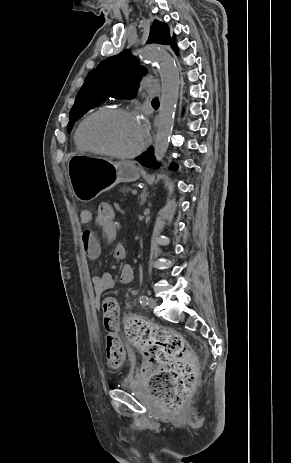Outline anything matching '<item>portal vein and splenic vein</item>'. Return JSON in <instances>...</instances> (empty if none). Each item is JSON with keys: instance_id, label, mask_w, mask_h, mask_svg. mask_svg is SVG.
<instances>
[{"instance_id": "obj_1", "label": "portal vein and splenic vein", "mask_w": 291, "mask_h": 463, "mask_svg": "<svg viewBox=\"0 0 291 463\" xmlns=\"http://www.w3.org/2000/svg\"><path fill=\"white\" fill-rule=\"evenodd\" d=\"M131 193H132V194H137V190H136V189H132V190H131Z\"/></svg>"}]
</instances>
